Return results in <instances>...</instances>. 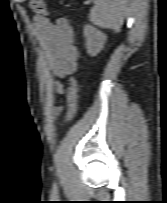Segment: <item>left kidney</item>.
<instances>
[{"label": "left kidney", "instance_id": "obj_1", "mask_svg": "<svg viewBox=\"0 0 167 203\" xmlns=\"http://www.w3.org/2000/svg\"><path fill=\"white\" fill-rule=\"evenodd\" d=\"M84 36L86 40V49L90 56H96L106 42V35L96 28L86 25L84 27Z\"/></svg>", "mask_w": 167, "mask_h": 203}]
</instances>
